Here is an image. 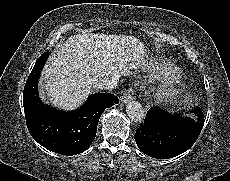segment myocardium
<instances>
[{
    "instance_id": "1",
    "label": "myocardium",
    "mask_w": 230,
    "mask_h": 181,
    "mask_svg": "<svg viewBox=\"0 0 230 181\" xmlns=\"http://www.w3.org/2000/svg\"><path fill=\"white\" fill-rule=\"evenodd\" d=\"M186 82L179 74L166 77L156 88V95L163 100L172 101L180 98L186 91Z\"/></svg>"
}]
</instances>
